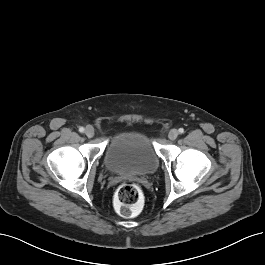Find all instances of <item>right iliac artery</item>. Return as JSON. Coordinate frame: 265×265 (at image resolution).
<instances>
[{"mask_svg": "<svg viewBox=\"0 0 265 265\" xmlns=\"http://www.w3.org/2000/svg\"><path fill=\"white\" fill-rule=\"evenodd\" d=\"M84 130H85V129H84L83 127H80V128H79V132H81V133H83Z\"/></svg>", "mask_w": 265, "mask_h": 265, "instance_id": "right-iliac-artery-1", "label": "right iliac artery"}]
</instances>
